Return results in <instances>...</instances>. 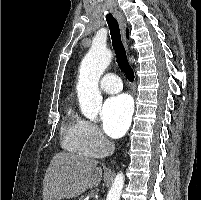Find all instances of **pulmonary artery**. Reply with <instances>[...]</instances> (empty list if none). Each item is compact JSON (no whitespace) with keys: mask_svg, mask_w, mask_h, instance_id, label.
Here are the masks:
<instances>
[{"mask_svg":"<svg viewBox=\"0 0 201 200\" xmlns=\"http://www.w3.org/2000/svg\"><path fill=\"white\" fill-rule=\"evenodd\" d=\"M99 85L102 91L109 94L118 93L122 90L121 80L114 73H107L103 75Z\"/></svg>","mask_w":201,"mask_h":200,"instance_id":"1","label":"pulmonary artery"}]
</instances>
